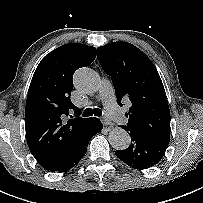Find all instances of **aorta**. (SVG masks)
<instances>
[{"label":"aorta","mask_w":203,"mask_h":203,"mask_svg":"<svg viewBox=\"0 0 203 203\" xmlns=\"http://www.w3.org/2000/svg\"><path fill=\"white\" fill-rule=\"evenodd\" d=\"M76 89L83 94L96 92L101 85L98 74L89 68H80L74 75ZM108 141L115 150H125L130 146L131 138L122 128H114L108 136Z\"/></svg>","instance_id":"obj_1"}]
</instances>
